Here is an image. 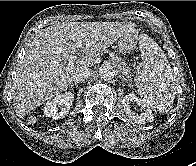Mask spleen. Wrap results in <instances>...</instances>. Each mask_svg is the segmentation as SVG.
<instances>
[{
  "label": "spleen",
  "mask_w": 196,
  "mask_h": 166,
  "mask_svg": "<svg viewBox=\"0 0 196 166\" xmlns=\"http://www.w3.org/2000/svg\"><path fill=\"white\" fill-rule=\"evenodd\" d=\"M143 70L135 79L140 96L155 112H168L176 95L175 75L162 49L146 37L140 45Z\"/></svg>",
  "instance_id": "1"
}]
</instances>
